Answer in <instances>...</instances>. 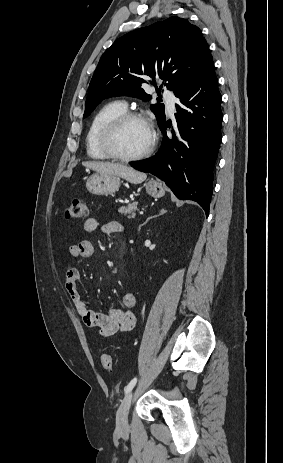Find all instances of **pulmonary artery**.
Here are the masks:
<instances>
[{
	"instance_id": "obj_1",
	"label": "pulmonary artery",
	"mask_w": 283,
	"mask_h": 463,
	"mask_svg": "<svg viewBox=\"0 0 283 463\" xmlns=\"http://www.w3.org/2000/svg\"><path fill=\"white\" fill-rule=\"evenodd\" d=\"M163 96H164L165 100L167 101L168 110L172 114L173 111H174L176 97L174 96V94L171 91H168V90H165L163 92Z\"/></svg>"
}]
</instances>
